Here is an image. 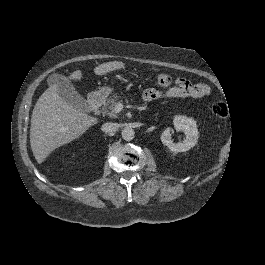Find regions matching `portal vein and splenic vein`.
Masks as SVG:
<instances>
[{
    "instance_id": "obj_1",
    "label": "portal vein and splenic vein",
    "mask_w": 265,
    "mask_h": 265,
    "mask_svg": "<svg viewBox=\"0 0 265 265\" xmlns=\"http://www.w3.org/2000/svg\"><path fill=\"white\" fill-rule=\"evenodd\" d=\"M122 108H123V106H122L121 104H117V105L114 107L113 112H114V113H119V112L122 111Z\"/></svg>"
}]
</instances>
